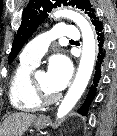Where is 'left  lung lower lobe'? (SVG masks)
<instances>
[{
    "instance_id": "obj_1",
    "label": "left lung lower lobe",
    "mask_w": 117,
    "mask_h": 136,
    "mask_svg": "<svg viewBox=\"0 0 117 136\" xmlns=\"http://www.w3.org/2000/svg\"><path fill=\"white\" fill-rule=\"evenodd\" d=\"M94 29H95L96 40H97V57H96L95 73L87 97L84 103L82 104V106L80 107V109L78 110V112L81 113L82 115L87 114L91 102L93 101L96 95V91L100 86V80L102 78V75L104 74L108 66V46H107L105 31L102 22L97 21L94 24Z\"/></svg>"
}]
</instances>
